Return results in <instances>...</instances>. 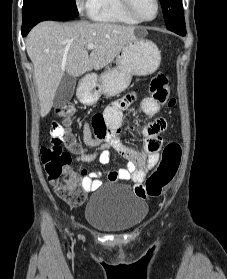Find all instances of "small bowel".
I'll use <instances>...</instances> for the list:
<instances>
[{"label": "small bowel", "instance_id": "small-bowel-1", "mask_svg": "<svg viewBox=\"0 0 227 279\" xmlns=\"http://www.w3.org/2000/svg\"><path fill=\"white\" fill-rule=\"evenodd\" d=\"M135 100V94L129 93L122 98L114 101L104 113L106 130L103 133H97L91 129V124L83 121V140L87 147H99V150L90 152H81L75 155V160L81 163H90L98 160L101 164L107 165L111 162L109 148L115 149L122 157L127 160L124 168L110 170L104 173L100 170L86 172L81 170L83 175L81 184L85 192H91L100 187L102 180L109 182L131 181L134 188L143 189V181L147 171L153 168L159 161V150L162 145L161 134L167 129V121L164 118H157L155 121L147 124L144 128L145 147L148 151L146 158L136 150L125 146L117 137L120 125L124 123L128 128L133 125L125 121L123 111ZM142 112L148 116H154L160 110L159 104L153 99H145L141 105ZM93 126V124H92Z\"/></svg>", "mask_w": 227, "mask_h": 279}]
</instances>
